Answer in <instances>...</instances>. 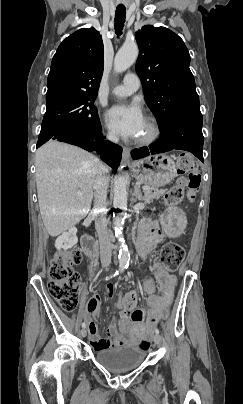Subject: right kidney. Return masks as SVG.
I'll list each match as a JSON object with an SVG mask.
<instances>
[{
    "mask_svg": "<svg viewBox=\"0 0 243 404\" xmlns=\"http://www.w3.org/2000/svg\"><path fill=\"white\" fill-rule=\"evenodd\" d=\"M77 242V228H70L68 232H64L62 236H59V238L55 240V248H57V250H61V248H63V250H69V248H73Z\"/></svg>",
    "mask_w": 243,
    "mask_h": 404,
    "instance_id": "right-kidney-1",
    "label": "right kidney"
}]
</instances>
